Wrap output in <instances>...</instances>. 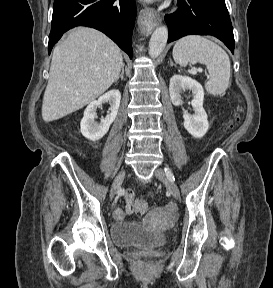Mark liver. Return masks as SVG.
Segmentation results:
<instances>
[{"label": "liver", "instance_id": "obj_1", "mask_svg": "<svg viewBox=\"0 0 273 288\" xmlns=\"http://www.w3.org/2000/svg\"><path fill=\"white\" fill-rule=\"evenodd\" d=\"M123 66L120 48L92 28L77 27L53 50L43 96L45 122L69 115L102 95Z\"/></svg>", "mask_w": 273, "mask_h": 288}]
</instances>
